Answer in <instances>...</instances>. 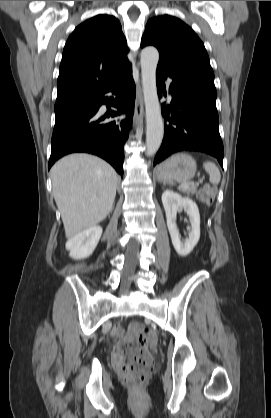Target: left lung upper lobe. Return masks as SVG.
I'll list each match as a JSON object with an SVG mask.
<instances>
[{
	"label": "left lung upper lobe",
	"mask_w": 271,
	"mask_h": 418,
	"mask_svg": "<svg viewBox=\"0 0 271 418\" xmlns=\"http://www.w3.org/2000/svg\"><path fill=\"white\" fill-rule=\"evenodd\" d=\"M147 45H154L159 50L158 69L173 78L216 91L214 73L204 44L183 21L169 15L151 18L141 40V47Z\"/></svg>",
	"instance_id": "5c2ea615"
}]
</instances>
